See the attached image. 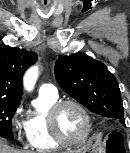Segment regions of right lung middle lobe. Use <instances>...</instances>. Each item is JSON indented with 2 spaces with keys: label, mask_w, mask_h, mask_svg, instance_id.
<instances>
[{
  "label": "right lung middle lobe",
  "mask_w": 130,
  "mask_h": 153,
  "mask_svg": "<svg viewBox=\"0 0 130 153\" xmlns=\"http://www.w3.org/2000/svg\"><path fill=\"white\" fill-rule=\"evenodd\" d=\"M19 102H11L7 100H0V136L13 139L11 120L15 114Z\"/></svg>",
  "instance_id": "obj_1"
}]
</instances>
